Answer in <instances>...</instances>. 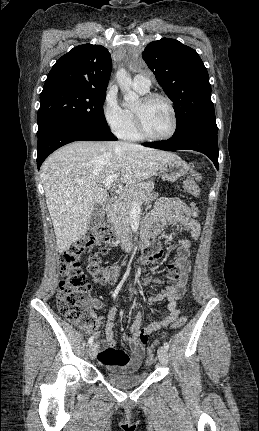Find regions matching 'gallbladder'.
I'll return each mask as SVG.
<instances>
[{
	"instance_id": "gallbladder-1",
	"label": "gallbladder",
	"mask_w": 259,
	"mask_h": 431,
	"mask_svg": "<svg viewBox=\"0 0 259 431\" xmlns=\"http://www.w3.org/2000/svg\"><path fill=\"white\" fill-rule=\"evenodd\" d=\"M104 217L105 211L103 204H96L89 221V230L94 231L98 226H100L104 221Z\"/></svg>"
}]
</instances>
